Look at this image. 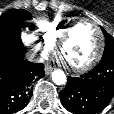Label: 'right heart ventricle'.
<instances>
[{"label": "right heart ventricle", "instance_id": "e07e8e85", "mask_svg": "<svg viewBox=\"0 0 114 114\" xmlns=\"http://www.w3.org/2000/svg\"><path fill=\"white\" fill-rule=\"evenodd\" d=\"M76 19L74 16H56L47 19L37 24L33 35L45 48H53L65 29Z\"/></svg>", "mask_w": 114, "mask_h": 114}]
</instances>
